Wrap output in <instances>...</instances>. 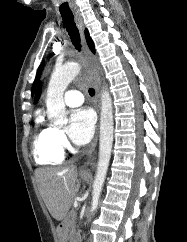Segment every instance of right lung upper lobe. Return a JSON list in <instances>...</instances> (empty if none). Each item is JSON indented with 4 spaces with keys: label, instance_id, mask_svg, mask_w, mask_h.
Segmentation results:
<instances>
[{
    "label": "right lung upper lobe",
    "instance_id": "cb5924a9",
    "mask_svg": "<svg viewBox=\"0 0 187 242\" xmlns=\"http://www.w3.org/2000/svg\"><path fill=\"white\" fill-rule=\"evenodd\" d=\"M85 37H86V41L88 43L89 48L91 49V51L94 53L95 52V48H94V43L92 41V39L89 36V32L88 30H85ZM41 94V83L38 86L37 92H36V96H35V100L34 103H36L40 97Z\"/></svg>",
    "mask_w": 187,
    "mask_h": 242
}]
</instances>
